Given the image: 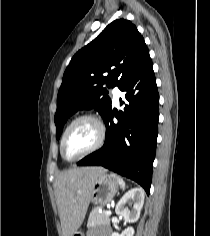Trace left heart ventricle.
<instances>
[{
	"instance_id": "obj_1",
	"label": "left heart ventricle",
	"mask_w": 210,
	"mask_h": 236,
	"mask_svg": "<svg viewBox=\"0 0 210 236\" xmlns=\"http://www.w3.org/2000/svg\"><path fill=\"white\" fill-rule=\"evenodd\" d=\"M98 137V129L90 120H81L69 130L64 141V155L68 159L75 158L94 145Z\"/></svg>"
}]
</instances>
